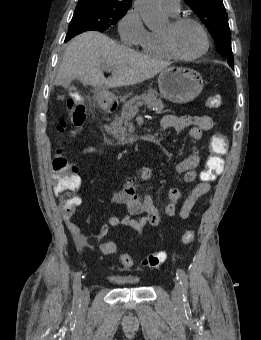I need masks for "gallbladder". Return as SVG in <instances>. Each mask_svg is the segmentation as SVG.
<instances>
[{
    "label": "gallbladder",
    "mask_w": 261,
    "mask_h": 340,
    "mask_svg": "<svg viewBox=\"0 0 261 340\" xmlns=\"http://www.w3.org/2000/svg\"><path fill=\"white\" fill-rule=\"evenodd\" d=\"M69 84H63L62 86H64V87H66V86H68Z\"/></svg>",
    "instance_id": "bac80fb5"
}]
</instances>
